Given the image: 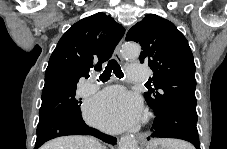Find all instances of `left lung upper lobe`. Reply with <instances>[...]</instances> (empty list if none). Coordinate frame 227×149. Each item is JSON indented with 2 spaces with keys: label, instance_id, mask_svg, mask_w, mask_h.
Returning <instances> with one entry per match:
<instances>
[{
  "label": "left lung upper lobe",
  "instance_id": "1",
  "mask_svg": "<svg viewBox=\"0 0 227 149\" xmlns=\"http://www.w3.org/2000/svg\"><path fill=\"white\" fill-rule=\"evenodd\" d=\"M126 40L140 44V62L154 72L151 82L156 91L144 93L148 105L158 110L178 106L196 111L193 54L176 26L149 14L128 31Z\"/></svg>",
  "mask_w": 227,
  "mask_h": 149
}]
</instances>
